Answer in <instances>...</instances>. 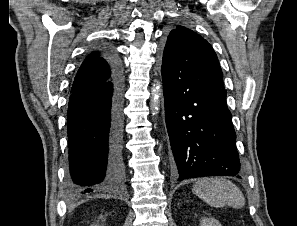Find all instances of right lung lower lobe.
I'll return each instance as SVG.
<instances>
[{
	"label": "right lung lower lobe",
	"instance_id": "98d812e1",
	"mask_svg": "<svg viewBox=\"0 0 297 226\" xmlns=\"http://www.w3.org/2000/svg\"><path fill=\"white\" fill-rule=\"evenodd\" d=\"M109 82L70 95L67 130L73 194L122 183V78L112 59Z\"/></svg>",
	"mask_w": 297,
	"mask_h": 226
}]
</instances>
